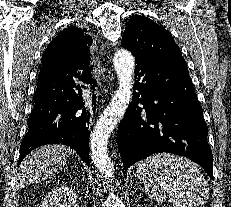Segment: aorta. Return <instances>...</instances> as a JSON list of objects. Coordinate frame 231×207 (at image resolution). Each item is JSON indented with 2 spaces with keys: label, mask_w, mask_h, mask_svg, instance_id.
<instances>
[{
  "label": "aorta",
  "mask_w": 231,
  "mask_h": 207,
  "mask_svg": "<svg viewBox=\"0 0 231 207\" xmlns=\"http://www.w3.org/2000/svg\"><path fill=\"white\" fill-rule=\"evenodd\" d=\"M114 68L119 86L103 114L99 117L90 139V156L95 167L105 177H113L114 165L108 156L107 143L110 134L123 118L132 98L135 59L121 49L114 55Z\"/></svg>",
  "instance_id": "1"
}]
</instances>
